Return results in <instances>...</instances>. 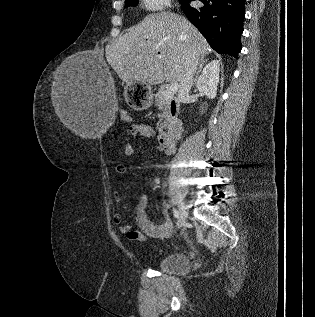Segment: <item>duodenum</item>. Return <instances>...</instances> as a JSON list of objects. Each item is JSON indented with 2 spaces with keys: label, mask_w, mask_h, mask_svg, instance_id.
Returning <instances> with one entry per match:
<instances>
[{
  "label": "duodenum",
  "mask_w": 315,
  "mask_h": 317,
  "mask_svg": "<svg viewBox=\"0 0 315 317\" xmlns=\"http://www.w3.org/2000/svg\"><path fill=\"white\" fill-rule=\"evenodd\" d=\"M171 111L173 114L176 112V101H171ZM182 133V125L180 122L175 121L169 130L163 131L159 134V144L165 153L171 154L176 149V142Z\"/></svg>",
  "instance_id": "obj_1"
}]
</instances>
